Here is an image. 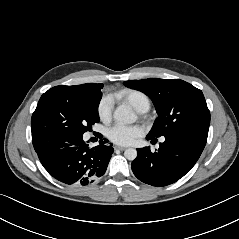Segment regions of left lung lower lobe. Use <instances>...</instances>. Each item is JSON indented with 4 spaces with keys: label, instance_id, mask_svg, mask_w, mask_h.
<instances>
[{
    "label": "left lung lower lobe",
    "instance_id": "0a47b994",
    "mask_svg": "<svg viewBox=\"0 0 239 239\" xmlns=\"http://www.w3.org/2000/svg\"><path fill=\"white\" fill-rule=\"evenodd\" d=\"M147 140L152 139L147 136ZM207 139L187 134H170L157 152L150 147L137 149L132 162L135 176L152 186H166L183 177L199 159Z\"/></svg>",
    "mask_w": 239,
    "mask_h": 239
}]
</instances>
